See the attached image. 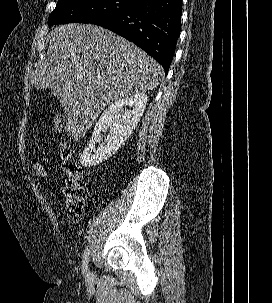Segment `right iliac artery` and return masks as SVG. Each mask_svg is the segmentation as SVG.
I'll return each mask as SVG.
<instances>
[{"instance_id":"1","label":"right iliac artery","mask_w":272,"mask_h":303,"mask_svg":"<svg viewBox=\"0 0 272 303\" xmlns=\"http://www.w3.org/2000/svg\"><path fill=\"white\" fill-rule=\"evenodd\" d=\"M88 262H89V250H88V248H86L84 250L83 260H82L83 274L87 273V271H88Z\"/></svg>"}]
</instances>
